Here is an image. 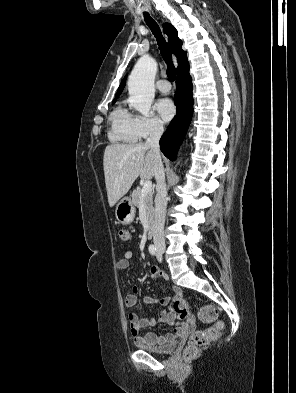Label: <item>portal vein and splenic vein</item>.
<instances>
[{
    "mask_svg": "<svg viewBox=\"0 0 296 393\" xmlns=\"http://www.w3.org/2000/svg\"><path fill=\"white\" fill-rule=\"evenodd\" d=\"M152 189V182L151 181H146L143 185V188L141 190V195L144 196L146 195L148 192H150Z\"/></svg>",
    "mask_w": 296,
    "mask_h": 393,
    "instance_id": "18ae733b",
    "label": "portal vein and splenic vein"
}]
</instances>
